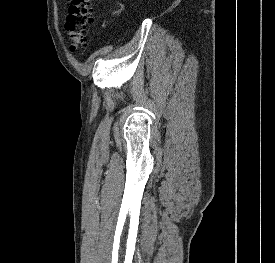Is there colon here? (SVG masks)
<instances>
[{
  "mask_svg": "<svg viewBox=\"0 0 275 263\" xmlns=\"http://www.w3.org/2000/svg\"><path fill=\"white\" fill-rule=\"evenodd\" d=\"M92 21L91 0H71L65 23L71 52H80L87 48L89 26Z\"/></svg>",
  "mask_w": 275,
  "mask_h": 263,
  "instance_id": "obj_1",
  "label": "colon"
}]
</instances>
